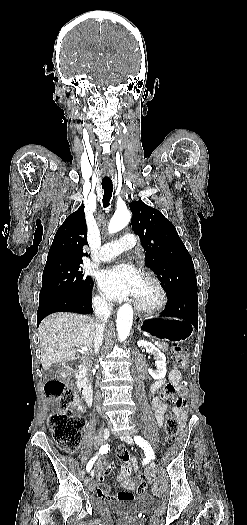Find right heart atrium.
I'll use <instances>...</instances> for the list:
<instances>
[{
    "mask_svg": "<svg viewBox=\"0 0 247 525\" xmlns=\"http://www.w3.org/2000/svg\"><path fill=\"white\" fill-rule=\"evenodd\" d=\"M108 302L109 298L101 292H98L93 296V303L97 307H106L108 305Z\"/></svg>",
    "mask_w": 247,
    "mask_h": 525,
    "instance_id": "right-heart-atrium-1",
    "label": "right heart atrium"
}]
</instances>
